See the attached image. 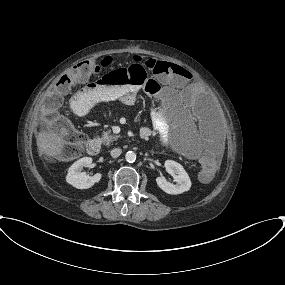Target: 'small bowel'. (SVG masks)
I'll use <instances>...</instances> for the list:
<instances>
[{
	"mask_svg": "<svg viewBox=\"0 0 285 285\" xmlns=\"http://www.w3.org/2000/svg\"><path fill=\"white\" fill-rule=\"evenodd\" d=\"M185 81L184 77H180L174 82V85L178 88H184ZM140 89V86L133 85L103 86L97 82H88L71 96L69 105L74 113H81L94 103L114 100L131 106L135 103L136 94ZM164 111L169 112V117L165 116ZM185 113L186 110L180 99L160 94L154 98V106L151 112L152 126L143 127L140 130V137L148 139L155 134L162 144L168 145L170 143L168 123L180 124ZM199 139L207 148L203 154V159L217 165L216 158L219 156L223 144L221 138L214 132L206 130L200 133ZM192 153H196L195 147H193Z\"/></svg>",
	"mask_w": 285,
	"mask_h": 285,
	"instance_id": "c3829d8e",
	"label": "small bowel"
}]
</instances>
